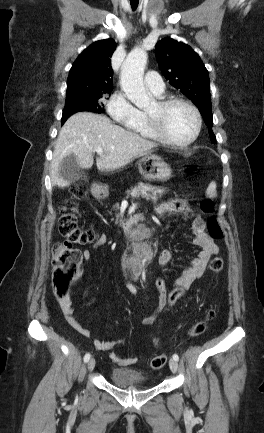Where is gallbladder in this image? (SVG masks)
Segmentation results:
<instances>
[{
  "mask_svg": "<svg viewBox=\"0 0 264 433\" xmlns=\"http://www.w3.org/2000/svg\"><path fill=\"white\" fill-rule=\"evenodd\" d=\"M59 176L69 184L78 181L80 178H86L82 172L77 158L74 155L65 157L60 163Z\"/></svg>",
  "mask_w": 264,
  "mask_h": 433,
  "instance_id": "gallbladder-1",
  "label": "gallbladder"
}]
</instances>
